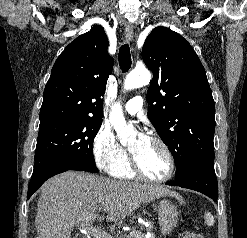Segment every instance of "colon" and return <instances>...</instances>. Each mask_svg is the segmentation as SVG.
<instances>
[{"label": "colon", "mask_w": 247, "mask_h": 238, "mask_svg": "<svg viewBox=\"0 0 247 238\" xmlns=\"http://www.w3.org/2000/svg\"><path fill=\"white\" fill-rule=\"evenodd\" d=\"M180 238H203L202 235L193 231H183L180 234Z\"/></svg>", "instance_id": "colon-1"}]
</instances>
